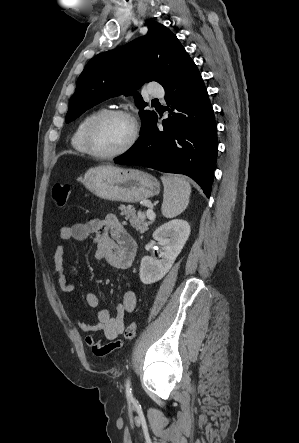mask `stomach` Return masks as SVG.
Returning a JSON list of instances; mask_svg holds the SVG:
<instances>
[{"label":"stomach","mask_w":299,"mask_h":443,"mask_svg":"<svg viewBox=\"0 0 299 443\" xmlns=\"http://www.w3.org/2000/svg\"><path fill=\"white\" fill-rule=\"evenodd\" d=\"M83 182L96 196L111 201L135 203L160 191L159 182L150 174L112 165L89 169Z\"/></svg>","instance_id":"stomach-1"}]
</instances>
